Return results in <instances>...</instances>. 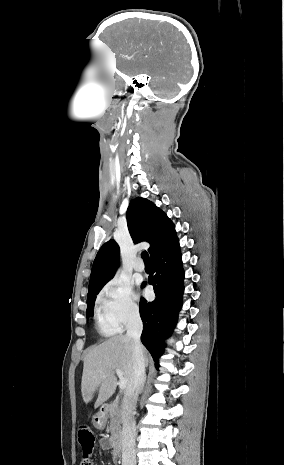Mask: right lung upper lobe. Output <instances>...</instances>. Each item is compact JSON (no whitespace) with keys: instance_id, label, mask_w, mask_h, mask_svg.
<instances>
[{"instance_id":"cb5924a9","label":"right lung upper lobe","mask_w":284,"mask_h":465,"mask_svg":"<svg viewBox=\"0 0 284 465\" xmlns=\"http://www.w3.org/2000/svg\"><path fill=\"white\" fill-rule=\"evenodd\" d=\"M127 224L134 243L147 241L150 244V258L176 238L172 221L145 198L137 197L131 200L127 209ZM119 254V246L113 239L102 245L93 263L87 296L99 293L113 278L118 267Z\"/></svg>"}]
</instances>
